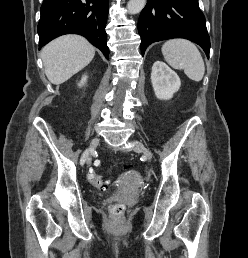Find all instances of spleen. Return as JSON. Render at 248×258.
I'll return each mask as SVG.
<instances>
[{
	"mask_svg": "<svg viewBox=\"0 0 248 258\" xmlns=\"http://www.w3.org/2000/svg\"><path fill=\"white\" fill-rule=\"evenodd\" d=\"M165 61L175 69H183L187 77L195 82L203 79L205 65L196 45L186 39H171L162 46Z\"/></svg>",
	"mask_w": 248,
	"mask_h": 258,
	"instance_id": "obj_1",
	"label": "spleen"
}]
</instances>
